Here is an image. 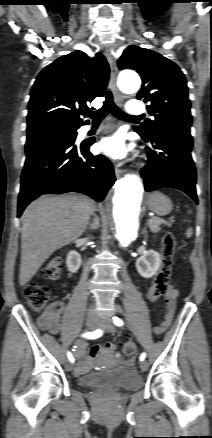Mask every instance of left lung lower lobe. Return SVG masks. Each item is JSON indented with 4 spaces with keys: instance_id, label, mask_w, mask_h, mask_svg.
I'll list each match as a JSON object with an SVG mask.
<instances>
[{
    "instance_id": "left-lung-lower-lobe-1",
    "label": "left lung lower lobe",
    "mask_w": 212,
    "mask_h": 438,
    "mask_svg": "<svg viewBox=\"0 0 212 438\" xmlns=\"http://www.w3.org/2000/svg\"><path fill=\"white\" fill-rule=\"evenodd\" d=\"M146 147L147 164L141 171L147 192L160 188H175L187 193L196 203V170L191 157L193 146L189 129H157L149 137Z\"/></svg>"
}]
</instances>
